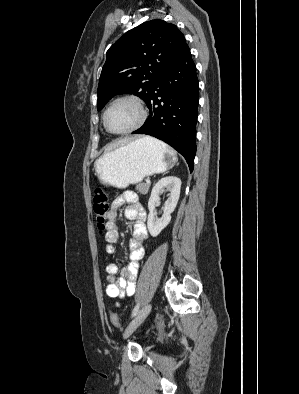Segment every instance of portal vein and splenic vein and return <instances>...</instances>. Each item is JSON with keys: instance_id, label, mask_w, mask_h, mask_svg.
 I'll return each instance as SVG.
<instances>
[{"instance_id": "18ae733b", "label": "portal vein and splenic vein", "mask_w": 299, "mask_h": 394, "mask_svg": "<svg viewBox=\"0 0 299 394\" xmlns=\"http://www.w3.org/2000/svg\"><path fill=\"white\" fill-rule=\"evenodd\" d=\"M146 183H147V184H150V183H151V182H150V179H147V180H146Z\"/></svg>"}]
</instances>
